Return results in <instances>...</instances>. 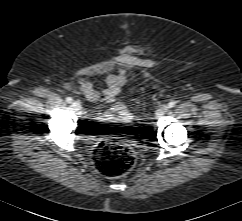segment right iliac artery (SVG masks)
Returning <instances> with one entry per match:
<instances>
[{"label":"right iliac artery","mask_w":242,"mask_h":221,"mask_svg":"<svg viewBox=\"0 0 242 221\" xmlns=\"http://www.w3.org/2000/svg\"><path fill=\"white\" fill-rule=\"evenodd\" d=\"M72 101H73V99H72L71 97H67V98H66V102H67V103H72Z\"/></svg>","instance_id":"obj_1"}]
</instances>
